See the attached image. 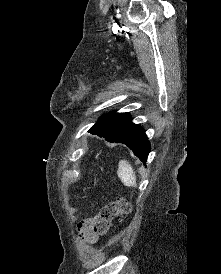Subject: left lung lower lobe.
Returning <instances> with one entry per match:
<instances>
[{"instance_id":"0a47b994","label":"left lung lower lobe","mask_w":221,"mask_h":274,"mask_svg":"<svg viewBox=\"0 0 221 274\" xmlns=\"http://www.w3.org/2000/svg\"><path fill=\"white\" fill-rule=\"evenodd\" d=\"M88 132L104 137L109 142L127 145L143 163H146L150 143L144 129L131 122L129 113L110 112L100 118Z\"/></svg>"}]
</instances>
